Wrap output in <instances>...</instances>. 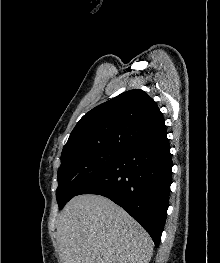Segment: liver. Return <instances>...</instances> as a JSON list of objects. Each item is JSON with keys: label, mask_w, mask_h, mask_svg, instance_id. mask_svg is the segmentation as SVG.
<instances>
[{"label": "liver", "mask_w": 220, "mask_h": 263, "mask_svg": "<svg viewBox=\"0 0 220 263\" xmlns=\"http://www.w3.org/2000/svg\"><path fill=\"white\" fill-rule=\"evenodd\" d=\"M61 263H148L149 234L125 210L106 197L72 198L57 220Z\"/></svg>", "instance_id": "liver-1"}]
</instances>
